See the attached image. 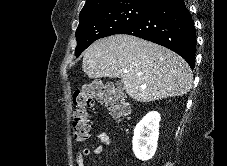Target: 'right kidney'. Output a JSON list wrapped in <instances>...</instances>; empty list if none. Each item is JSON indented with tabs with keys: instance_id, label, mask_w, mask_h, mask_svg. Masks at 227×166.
<instances>
[{
	"instance_id": "1",
	"label": "right kidney",
	"mask_w": 227,
	"mask_h": 166,
	"mask_svg": "<svg viewBox=\"0 0 227 166\" xmlns=\"http://www.w3.org/2000/svg\"><path fill=\"white\" fill-rule=\"evenodd\" d=\"M160 120V114L151 111L136 125L132 144L133 152L139 160L147 161L154 156L158 145Z\"/></svg>"
}]
</instances>
